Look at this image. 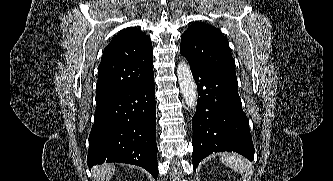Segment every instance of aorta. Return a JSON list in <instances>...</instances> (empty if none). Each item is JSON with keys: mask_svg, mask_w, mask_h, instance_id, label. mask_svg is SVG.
Returning a JSON list of instances; mask_svg holds the SVG:
<instances>
[{"mask_svg": "<svg viewBox=\"0 0 333 181\" xmlns=\"http://www.w3.org/2000/svg\"><path fill=\"white\" fill-rule=\"evenodd\" d=\"M177 77L186 105L188 108L194 109L197 105V87L190 67L185 61L180 62L177 66Z\"/></svg>", "mask_w": 333, "mask_h": 181, "instance_id": "aorta-1", "label": "aorta"}]
</instances>
